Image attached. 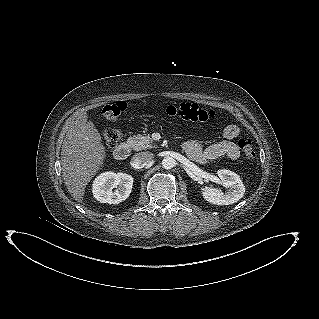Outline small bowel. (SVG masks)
I'll list each match as a JSON object with an SVG mask.
<instances>
[{
    "mask_svg": "<svg viewBox=\"0 0 319 319\" xmlns=\"http://www.w3.org/2000/svg\"><path fill=\"white\" fill-rule=\"evenodd\" d=\"M240 130L236 125H227L223 130L224 140L212 144L206 148L197 141H189L183 144L186 155L193 161L205 164L211 160L227 157L236 160L240 156V148L234 142L239 136Z\"/></svg>",
    "mask_w": 319,
    "mask_h": 319,
    "instance_id": "small-bowel-1",
    "label": "small bowel"
}]
</instances>
